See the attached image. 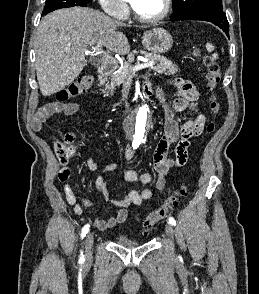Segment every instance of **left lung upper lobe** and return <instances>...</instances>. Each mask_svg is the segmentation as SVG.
Listing matches in <instances>:
<instances>
[{
  "instance_id": "obj_1",
  "label": "left lung upper lobe",
  "mask_w": 259,
  "mask_h": 294,
  "mask_svg": "<svg viewBox=\"0 0 259 294\" xmlns=\"http://www.w3.org/2000/svg\"><path fill=\"white\" fill-rule=\"evenodd\" d=\"M172 17L187 15L200 10L223 11L222 0H173Z\"/></svg>"
}]
</instances>
